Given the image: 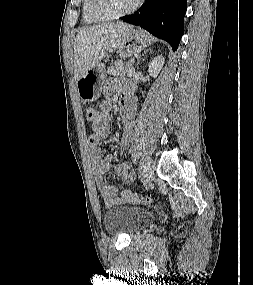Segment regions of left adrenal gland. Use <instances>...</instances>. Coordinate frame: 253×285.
<instances>
[{
	"instance_id": "obj_1",
	"label": "left adrenal gland",
	"mask_w": 253,
	"mask_h": 285,
	"mask_svg": "<svg viewBox=\"0 0 253 285\" xmlns=\"http://www.w3.org/2000/svg\"><path fill=\"white\" fill-rule=\"evenodd\" d=\"M151 49H148V50H146L145 52H144V54H147L148 52H150L151 53ZM137 66H139V62L137 63Z\"/></svg>"
}]
</instances>
